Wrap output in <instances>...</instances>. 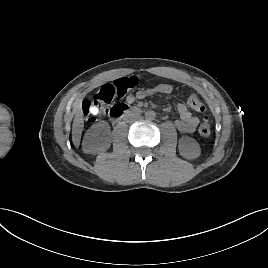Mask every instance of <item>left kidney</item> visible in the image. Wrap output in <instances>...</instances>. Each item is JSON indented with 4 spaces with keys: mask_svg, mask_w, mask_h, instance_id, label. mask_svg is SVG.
I'll use <instances>...</instances> for the list:
<instances>
[{
    "mask_svg": "<svg viewBox=\"0 0 268 268\" xmlns=\"http://www.w3.org/2000/svg\"><path fill=\"white\" fill-rule=\"evenodd\" d=\"M179 153L186 159H196L201 155V148L198 142L189 136H182L179 139Z\"/></svg>",
    "mask_w": 268,
    "mask_h": 268,
    "instance_id": "1",
    "label": "left kidney"
}]
</instances>
